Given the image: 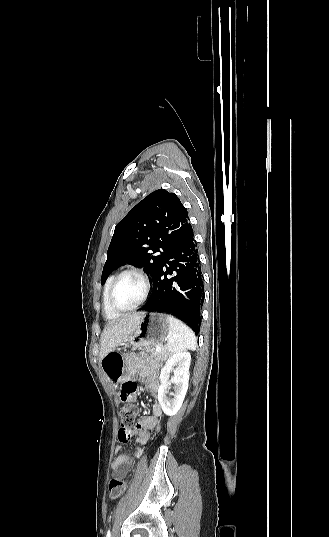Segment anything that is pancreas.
Listing matches in <instances>:
<instances>
[{
	"mask_svg": "<svg viewBox=\"0 0 329 537\" xmlns=\"http://www.w3.org/2000/svg\"><path fill=\"white\" fill-rule=\"evenodd\" d=\"M144 349L151 354V358L154 361L159 363H163L169 356L168 352L165 349H162L161 351H156L154 348L150 347H145Z\"/></svg>",
	"mask_w": 329,
	"mask_h": 537,
	"instance_id": "obj_1",
	"label": "pancreas"
}]
</instances>
